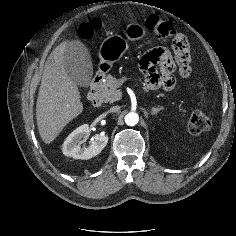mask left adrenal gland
Listing matches in <instances>:
<instances>
[{
	"label": "left adrenal gland",
	"mask_w": 236,
	"mask_h": 236,
	"mask_svg": "<svg viewBox=\"0 0 236 236\" xmlns=\"http://www.w3.org/2000/svg\"><path fill=\"white\" fill-rule=\"evenodd\" d=\"M163 110V107H159V108H152L151 110V114L152 115H156L159 111Z\"/></svg>",
	"instance_id": "a2214340"
}]
</instances>
